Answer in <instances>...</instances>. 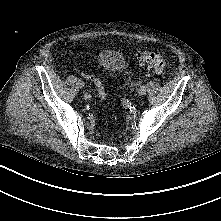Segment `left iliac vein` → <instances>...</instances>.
I'll use <instances>...</instances> for the list:
<instances>
[{"label":"left iliac vein","mask_w":221,"mask_h":221,"mask_svg":"<svg viewBox=\"0 0 221 221\" xmlns=\"http://www.w3.org/2000/svg\"><path fill=\"white\" fill-rule=\"evenodd\" d=\"M146 93V87L145 86H141L139 89H138V94L139 95H144Z\"/></svg>","instance_id":"left-iliac-vein-1"}]
</instances>
